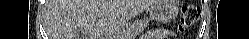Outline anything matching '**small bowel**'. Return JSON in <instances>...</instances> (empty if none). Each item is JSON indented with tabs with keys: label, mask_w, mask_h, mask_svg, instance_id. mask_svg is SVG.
I'll return each instance as SVG.
<instances>
[{
	"label": "small bowel",
	"mask_w": 249,
	"mask_h": 39,
	"mask_svg": "<svg viewBox=\"0 0 249 39\" xmlns=\"http://www.w3.org/2000/svg\"><path fill=\"white\" fill-rule=\"evenodd\" d=\"M169 30L157 29L148 32L144 39H168Z\"/></svg>",
	"instance_id": "c3829d8e"
}]
</instances>
